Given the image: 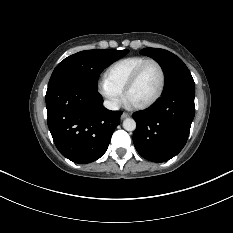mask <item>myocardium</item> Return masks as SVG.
Masks as SVG:
<instances>
[{"label":"myocardium","mask_w":233,"mask_h":233,"mask_svg":"<svg viewBox=\"0 0 233 233\" xmlns=\"http://www.w3.org/2000/svg\"><path fill=\"white\" fill-rule=\"evenodd\" d=\"M150 64H154L158 67L159 71H160V75H161V84L159 87L158 92L156 93V95L150 99L149 101L140 104V105H132L135 109H146L149 108L150 106H152L153 104H155L160 97L162 96L164 89H165V85H166V73L164 70L163 65L155 60V59H148L145 62H143L134 72L133 74L130 76V78L128 79L125 87H124V98L126 101H128V93L129 91L132 89V87L136 84V82L138 81V79L140 78V76L142 75L143 71L145 70V68L150 65Z\"/></svg>","instance_id":"f54148a6"}]
</instances>
